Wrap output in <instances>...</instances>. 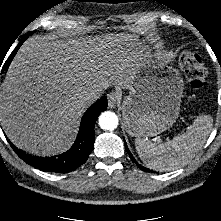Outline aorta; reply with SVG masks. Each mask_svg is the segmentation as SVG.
Wrapping results in <instances>:
<instances>
[{
  "label": "aorta",
  "mask_w": 221,
  "mask_h": 221,
  "mask_svg": "<svg viewBox=\"0 0 221 221\" xmlns=\"http://www.w3.org/2000/svg\"><path fill=\"white\" fill-rule=\"evenodd\" d=\"M118 117L114 112H104L99 118V125L104 130L112 131L118 126Z\"/></svg>",
  "instance_id": "aorta-1"
}]
</instances>
